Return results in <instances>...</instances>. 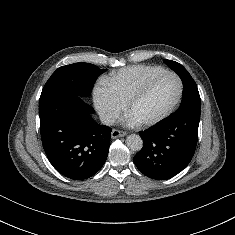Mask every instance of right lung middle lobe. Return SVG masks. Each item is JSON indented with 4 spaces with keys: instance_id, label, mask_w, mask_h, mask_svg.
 I'll list each match as a JSON object with an SVG mask.
<instances>
[{
    "instance_id": "1",
    "label": "right lung middle lobe",
    "mask_w": 235,
    "mask_h": 235,
    "mask_svg": "<svg viewBox=\"0 0 235 235\" xmlns=\"http://www.w3.org/2000/svg\"><path fill=\"white\" fill-rule=\"evenodd\" d=\"M106 70L90 63H74L59 67L43 87L39 103L59 95L87 97L97 77Z\"/></svg>"
}]
</instances>
